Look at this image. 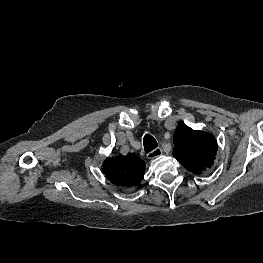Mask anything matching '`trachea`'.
Returning <instances> with one entry per match:
<instances>
[{"label":"trachea","instance_id":"trachea-1","mask_svg":"<svg viewBox=\"0 0 263 263\" xmlns=\"http://www.w3.org/2000/svg\"><path fill=\"white\" fill-rule=\"evenodd\" d=\"M144 150L146 153L151 152L158 147L157 141L150 134H146L143 139Z\"/></svg>","mask_w":263,"mask_h":263}]
</instances>
